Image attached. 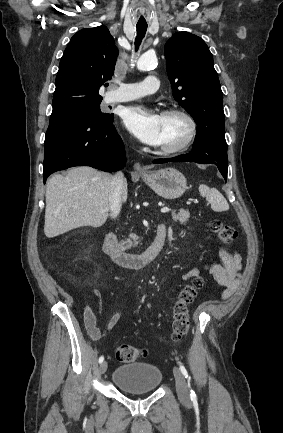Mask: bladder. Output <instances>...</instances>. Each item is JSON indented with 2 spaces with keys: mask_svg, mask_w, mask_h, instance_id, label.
<instances>
[{
  "mask_svg": "<svg viewBox=\"0 0 283 433\" xmlns=\"http://www.w3.org/2000/svg\"><path fill=\"white\" fill-rule=\"evenodd\" d=\"M161 380L160 368L145 362L119 366L113 376V383L126 393L153 391Z\"/></svg>",
  "mask_w": 283,
  "mask_h": 433,
  "instance_id": "obj_1",
  "label": "bladder"
}]
</instances>
